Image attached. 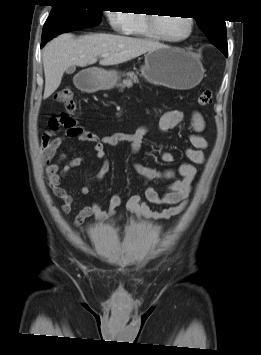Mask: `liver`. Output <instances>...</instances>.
<instances>
[{"label":"liver","mask_w":261,"mask_h":355,"mask_svg":"<svg viewBox=\"0 0 261 355\" xmlns=\"http://www.w3.org/2000/svg\"><path fill=\"white\" fill-rule=\"evenodd\" d=\"M163 46L156 41L123 35L99 33L76 38L70 33L62 34L43 49V98L47 99L57 90L65 70L70 66L92 65L104 53H109V56L100 60L101 65H117Z\"/></svg>","instance_id":"1"}]
</instances>
